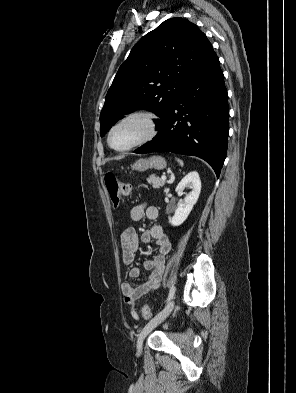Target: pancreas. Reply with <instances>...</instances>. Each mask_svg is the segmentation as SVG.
<instances>
[{
  "label": "pancreas",
  "instance_id": "1",
  "mask_svg": "<svg viewBox=\"0 0 296 393\" xmlns=\"http://www.w3.org/2000/svg\"><path fill=\"white\" fill-rule=\"evenodd\" d=\"M147 182L153 186V188L159 189L163 185H165V180L156 177L155 175H151L148 179Z\"/></svg>",
  "mask_w": 296,
  "mask_h": 393
}]
</instances>
